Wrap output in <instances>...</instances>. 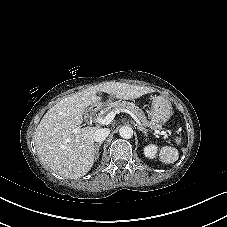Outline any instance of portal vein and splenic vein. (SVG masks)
I'll list each match as a JSON object with an SVG mask.
<instances>
[{
  "label": "portal vein and splenic vein",
  "instance_id": "18ae733b",
  "mask_svg": "<svg viewBox=\"0 0 227 227\" xmlns=\"http://www.w3.org/2000/svg\"><path fill=\"white\" fill-rule=\"evenodd\" d=\"M125 112V113H128L133 119H134V121L138 124V125H140V126H143V127H145L140 121H139V119L137 118V116L134 114V113H132L131 111H129V110H126V109H121V110H117V111H114V112H110V113H108L106 116H101V117H97L96 119H95V121L96 122H98V123H100V124H105V125H107V124H110L111 122H112V120L114 119V117H115V115L117 114V113H119V112ZM155 130V132L157 133V134H160V135H163V136H167V134H166V132L165 131H159V130H157V129H154ZM78 131H79V128H75L74 130H73V133H78Z\"/></svg>",
  "mask_w": 227,
  "mask_h": 227
}]
</instances>
